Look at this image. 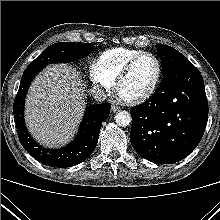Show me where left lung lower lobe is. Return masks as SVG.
<instances>
[{
	"label": "left lung lower lobe",
	"instance_id": "obj_1",
	"mask_svg": "<svg viewBox=\"0 0 220 220\" xmlns=\"http://www.w3.org/2000/svg\"><path fill=\"white\" fill-rule=\"evenodd\" d=\"M130 140L146 160L171 164L199 144L207 124L204 81L193 65L169 70L149 100L130 110Z\"/></svg>",
	"mask_w": 220,
	"mask_h": 220
}]
</instances>
